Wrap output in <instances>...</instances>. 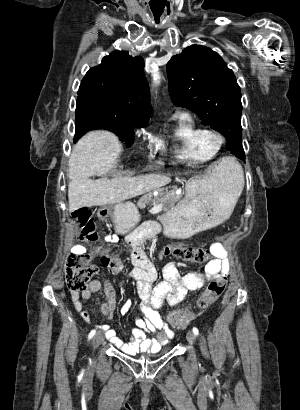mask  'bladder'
<instances>
[{
    "label": "bladder",
    "mask_w": 300,
    "mask_h": 410,
    "mask_svg": "<svg viewBox=\"0 0 300 410\" xmlns=\"http://www.w3.org/2000/svg\"><path fill=\"white\" fill-rule=\"evenodd\" d=\"M161 355V353H157L156 355H154V356H151V357H146V359H148V360H152V359H156V358H158L159 356Z\"/></svg>",
    "instance_id": "1"
}]
</instances>
